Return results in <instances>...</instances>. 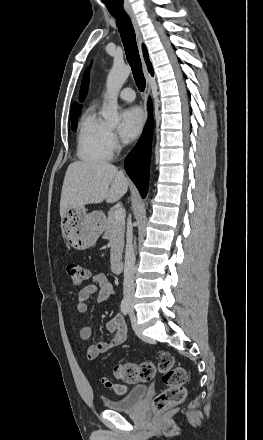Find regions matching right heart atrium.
<instances>
[{"label": "right heart atrium", "instance_id": "right-heart-atrium-1", "mask_svg": "<svg viewBox=\"0 0 263 440\" xmlns=\"http://www.w3.org/2000/svg\"><path fill=\"white\" fill-rule=\"evenodd\" d=\"M109 138H110V142H111L112 147H117L119 144V140H118V137L114 131H110Z\"/></svg>", "mask_w": 263, "mask_h": 440}]
</instances>
